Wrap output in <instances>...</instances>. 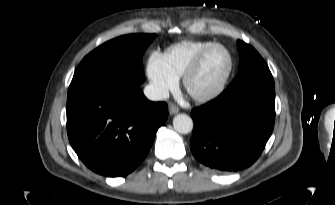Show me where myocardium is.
I'll return each instance as SVG.
<instances>
[{"label":"myocardium","mask_w":335,"mask_h":205,"mask_svg":"<svg viewBox=\"0 0 335 205\" xmlns=\"http://www.w3.org/2000/svg\"><path fill=\"white\" fill-rule=\"evenodd\" d=\"M217 48L223 49L227 53L228 58H229V66H228V69L224 77L221 79V81L217 84L216 87H214L212 90H210L207 93L200 94V95L190 93L188 89V85H189L191 78L199 71L207 55ZM234 65H235L234 57L230 49L221 43H214L206 47L205 49H203L195 57V59L192 61L189 67L185 70V72L182 75V86L193 100L200 102V103H206V102L212 101L215 98H217L225 90L232 76V73L234 71Z\"/></svg>","instance_id":"f54148a6"}]
</instances>
